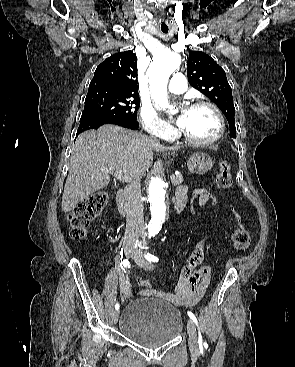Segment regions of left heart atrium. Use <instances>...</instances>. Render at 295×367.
Returning <instances> with one entry per match:
<instances>
[{
  "instance_id": "left-heart-atrium-1",
  "label": "left heart atrium",
  "mask_w": 295,
  "mask_h": 367,
  "mask_svg": "<svg viewBox=\"0 0 295 367\" xmlns=\"http://www.w3.org/2000/svg\"><path fill=\"white\" fill-rule=\"evenodd\" d=\"M187 112V109L186 108H183L179 114V116L177 117V120H176V123L177 125H179L180 127L182 126L183 124V119H184V116Z\"/></svg>"
}]
</instances>
